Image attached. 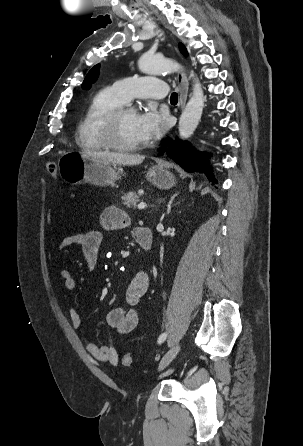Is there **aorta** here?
Segmentation results:
<instances>
[{
    "mask_svg": "<svg viewBox=\"0 0 303 446\" xmlns=\"http://www.w3.org/2000/svg\"><path fill=\"white\" fill-rule=\"evenodd\" d=\"M138 66L143 73L153 75L174 72L180 68L179 64L173 60L149 55H143L139 59ZM190 77L194 78L193 94L179 120V135L182 139H187L194 133L204 107V94L201 84L194 77L193 72H191Z\"/></svg>",
    "mask_w": 303,
    "mask_h": 446,
    "instance_id": "obj_1",
    "label": "aorta"
}]
</instances>
